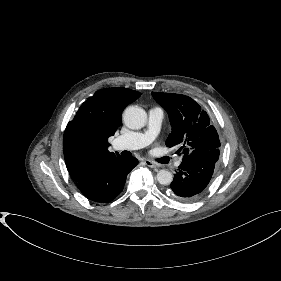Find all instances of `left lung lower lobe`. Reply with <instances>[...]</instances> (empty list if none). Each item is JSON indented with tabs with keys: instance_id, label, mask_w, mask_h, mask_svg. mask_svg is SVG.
<instances>
[{
	"instance_id": "left-lung-lower-lobe-1",
	"label": "left lung lower lobe",
	"mask_w": 281,
	"mask_h": 281,
	"mask_svg": "<svg viewBox=\"0 0 281 281\" xmlns=\"http://www.w3.org/2000/svg\"><path fill=\"white\" fill-rule=\"evenodd\" d=\"M219 149H196L182 159L170 184L171 192L181 201L198 198L208 186L219 159Z\"/></svg>"
}]
</instances>
